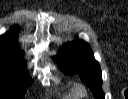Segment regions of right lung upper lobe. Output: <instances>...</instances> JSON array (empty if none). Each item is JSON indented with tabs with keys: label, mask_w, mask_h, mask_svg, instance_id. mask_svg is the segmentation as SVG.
<instances>
[{
	"label": "right lung upper lobe",
	"mask_w": 128,
	"mask_h": 99,
	"mask_svg": "<svg viewBox=\"0 0 128 99\" xmlns=\"http://www.w3.org/2000/svg\"><path fill=\"white\" fill-rule=\"evenodd\" d=\"M17 27H11V31L0 36V58H22V51L17 44Z\"/></svg>",
	"instance_id": "right-lung-upper-lobe-1"
}]
</instances>
